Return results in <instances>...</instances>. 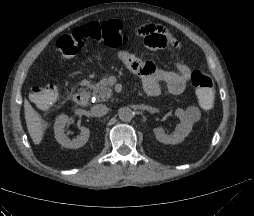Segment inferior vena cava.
<instances>
[{"label":"inferior vena cava","instance_id":"inferior-vena-cava-1","mask_svg":"<svg viewBox=\"0 0 254 216\" xmlns=\"http://www.w3.org/2000/svg\"><path fill=\"white\" fill-rule=\"evenodd\" d=\"M109 111L108 107L103 104H98L92 107L91 113L95 117H102Z\"/></svg>","mask_w":254,"mask_h":216}]
</instances>
